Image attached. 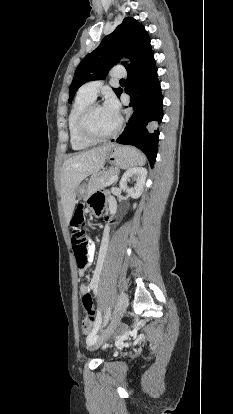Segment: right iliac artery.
Instances as JSON below:
<instances>
[{
	"label": "right iliac artery",
	"mask_w": 233,
	"mask_h": 414,
	"mask_svg": "<svg viewBox=\"0 0 233 414\" xmlns=\"http://www.w3.org/2000/svg\"><path fill=\"white\" fill-rule=\"evenodd\" d=\"M105 251H106V247H101V252H104L105 253Z\"/></svg>",
	"instance_id": "obj_1"
}]
</instances>
